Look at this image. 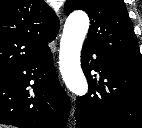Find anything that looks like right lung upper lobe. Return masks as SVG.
Here are the masks:
<instances>
[{"mask_svg":"<svg viewBox=\"0 0 142 128\" xmlns=\"http://www.w3.org/2000/svg\"><path fill=\"white\" fill-rule=\"evenodd\" d=\"M58 30L44 0H0V77L47 50Z\"/></svg>","mask_w":142,"mask_h":128,"instance_id":"cb5924a9","label":"right lung upper lobe"}]
</instances>
